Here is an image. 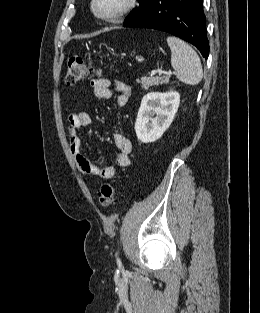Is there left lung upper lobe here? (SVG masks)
<instances>
[{
    "label": "left lung upper lobe",
    "mask_w": 260,
    "mask_h": 313,
    "mask_svg": "<svg viewBox=\"0 0 260 313\" xmlns=\"http://www.w3.org/2000/svg\"><path fill=\"white\" fill-rule=\"evenodd\" d=\"M150 2V0H139V7L131 12L125 19V21L129 20L130 18L134 17L135 15H137L140 11H142Z\"/></svg>",
    "instance_id": "left-lung-upper-lobe-1"
}]
</instances>
